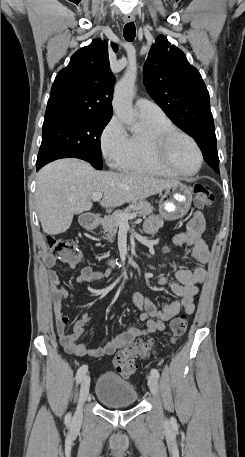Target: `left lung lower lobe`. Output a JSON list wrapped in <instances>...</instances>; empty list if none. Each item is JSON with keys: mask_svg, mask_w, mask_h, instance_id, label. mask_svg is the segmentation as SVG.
<instances>
[{"mask_svg": "<svg viewBox=\"0 0 245 457\" xmlns=\"http://www.w3.org/2000/svg\"><path fill=\"white\" fill-rule=\"evenodd\" d=\"M199 148L203 153L205 161L211 166L217 173H219L218 163L219 158L216 148V136L215 130L206 132L201 138L196 140Z\"/></svg>", "mask_w": 245, "mask_h": 457, "instance_id": "1", "label": "left lung lower lobe"}]
</instances>
